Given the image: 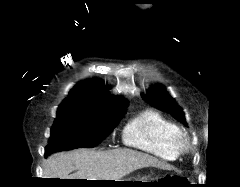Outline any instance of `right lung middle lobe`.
Wrapping results in <instances>:
<instances>
[{
	"label": "right lung middle lobe",
	"instance_id": "dd1d6c3e",
	"mask_svg": "<svg viewBox=\"0 0 240 187\" xmlns=\"http://www.w3.org/2000/svg\"><path fill=\"white\" fill-rule=\"evenodd\" d=\"M125 112L126 109L115 112L58 109L45 156L61 150L95 147L117 125Z\"/></svg>",
	"mask_w": 240,
	"mask_h": 187
}]
</instances>
